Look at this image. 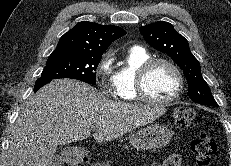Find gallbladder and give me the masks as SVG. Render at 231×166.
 <instances>
[{"instance_id": "obj_1", "label": "gallbladder", "mask_w": 231, "mask_h": 166, "mask_svg": "<svg viewBox=\"0 0 231 166\" xmlns=\"http://www.w3.org/2000/svg\"><path fill=\"white\" fill-rule=\"evenodd\" d=\"M48 166H62V159L58 156L53 157Z\"/></svg>"}]
</instances>
